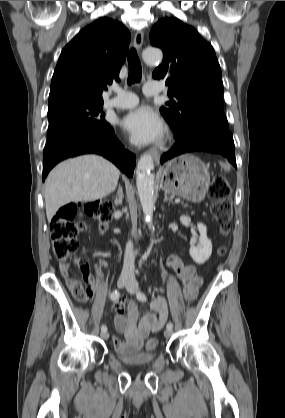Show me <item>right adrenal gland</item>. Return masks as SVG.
Wrapping results in <instances>:
<instances>
[{
    "label": "right adrenal gland",
    "instance_id": "1",
    "mask_svg": "<svg viewBox=\"0 0 285 418\" xmlns=\"http://www.w3.org/2000/svg\"><path fill=\"white\" fill-rule=\"evenodd\" d=\"M122 199H123V190H122V187L119 185L118 190H117V195L114 199V204L116 206L121 205L122 204Z\"/></svg>",
    "mask_w": 285,
    "mask_h": 418
}]
</instances>
